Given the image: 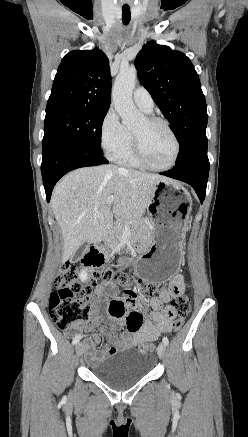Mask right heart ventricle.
<instances>
[{
  "label": "right heart ventricle",
  "mask_w": 248,
  "mask_h": 437,
  "mask_svg": "<svg viewBox=\"0 0 248 437\" xmlns=\"http://www.w3.org/2000/svg\"><path fill=\"white\" fill-rule=\"evenodd\" d=\"M117 160L121 163L124 164L126 166H130V167H138L141 164L139 163V161L137 160L134 151H133V141H132V137H131V142L128 146V148L125 150L124 153H122Z\"/></svg>",
  "instance_id": "right-heart-ventricle-1"
}]
</instances>
